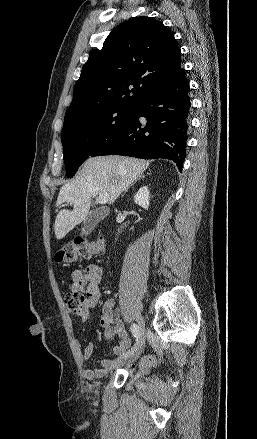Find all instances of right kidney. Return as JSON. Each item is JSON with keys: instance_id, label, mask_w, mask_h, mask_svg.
<instances>
[{"instance_id": "1", "label": "right kidney", "mask_w": 257, "mask_h": 439, "mask_svg": "<svg viewBox=\"0 0 257 439\" xmlns=\"http://www.w3.org/2000/svg\"><path fill=\"white\" fill-rule=\"evenodd\" d=\"M134 202L144 209L149 207V190L147 186L141 187L134 196Z\"/></svg>"}]
</instances>
